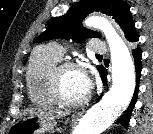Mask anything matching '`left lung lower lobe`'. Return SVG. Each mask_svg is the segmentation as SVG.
I'll return each instance as SVG.
<instances>
[{
    "mask_svg": "<svg viewBox=\"0 0 153 134\" xmlns=\"http://www.w3.org/2000/svg\"><path fill=\"white\" fill-rule=\"evenodd\" d=\"M132 54H133V58H134V62H135V68H136V79H137V86H136V90L134 93V96L132 98V101L129 105V107L127 108V110L124 112V114L116 121V123H121L125 128L128 127V123H129V119H130V115L132 113V110L135 106V103L137 101V93L139 90L138 84H139V79L141 76V70H142V65H141V55H142V51L140 49L139 46L135 47L132 50ZM100 75L101 78L103 80L104 85H106V76H107V71L102 68L100 71ZM101 98V96L98 98V100Z\"/></svg>",
    "mask_w": 153,
    "mask_h": 134,
    "instance_id": "obj_1",
    "label": "left lung lower lobe"
}]
</instances>
